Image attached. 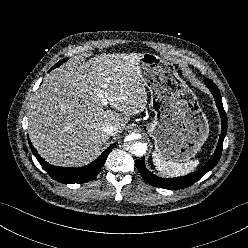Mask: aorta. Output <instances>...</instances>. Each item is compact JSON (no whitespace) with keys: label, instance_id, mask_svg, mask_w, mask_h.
Here are the masks:
<instances>
[{"label":"aorta","instance_id":"1","mask_svg":"<svg viewBox=\"0 0 248 248\" xmlns=\"http://www.w3.org/2000/svg\"><path fill=\"white\" fill-rule=\"evenodd\" d=\"M138 138H139L138 134L129 135L126 143V149L129 153L137 157H140L146 153L147 144L137 141Z\"/></svg>","mask_w":248,"mask_h":248}]
</instances>
